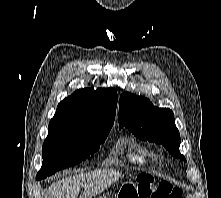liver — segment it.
I'll return each mask as SVG.
<instances>
[{
	"mask_svg": "<svg viewBox=\"0 0 221 198\" xmlns=\"http://www.w3.org/2000/svg\"><path fill=\"white\" fill-rule=\"evenodd\" d=\"M123 176L119 171L110 169L81 172L51 184L48 189V198H78L80 187L84 188V193L79 198H92Z\"/></svg>",
	"mask_w": 221,
	"mask_h": 198,
	"instance_id": "1",
	"label": "liver"
}]
</instances>
